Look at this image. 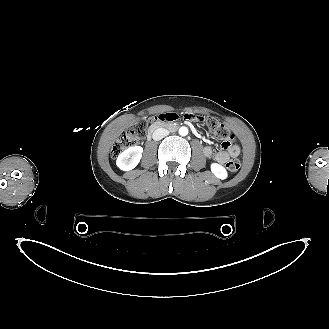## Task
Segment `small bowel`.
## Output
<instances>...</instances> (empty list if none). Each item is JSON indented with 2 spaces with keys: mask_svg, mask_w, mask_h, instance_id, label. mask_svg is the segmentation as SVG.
Masks as SVG:
<instances>
[{
  "mask_svg": "<svg viewBox=\"0 0 329 329\" xmlns=\"http://www.w3.org/2000/svg\"><path fill=\"white\" fill-rule=\"evenodd\" d=\"M179 117L181 119L189 120L196 122V124L201 125V122H205L204 118H200L193 112H181L180 114L178 112H167V113H159L157 115V118L164 122L165 120L167 122H176ZM204 154L207 157H213L218 163H225L230 158L237 157L240 154V148L237 145H229L224 146L223 149L215 151L211 146H206L204 148Z\"/></svg>",
  "mask_w": 329,
  "mask_h": 329,
  "instance_id": "small-bowel-1",
  "label": "small bowel"
}]
</instances>
